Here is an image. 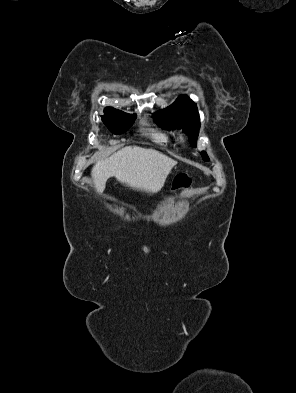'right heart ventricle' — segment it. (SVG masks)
<instances>
[{"mask_svg": "<svg viewBox=\"0 0 296 393\" xmlns=\"http://www.w3.org/2000/svg\"><path fill=\"white\" fill-rule=\"evenodd\" d=\"M150 137L161 144H166L170 142V136L168 133L158 129H151L149 133Z\"/></svg>", "mask_w": 296, "mask_h": 393, "instance_id": "right-heart-ventricle-1", "label": "right heart ventricle"}]
</instances>
